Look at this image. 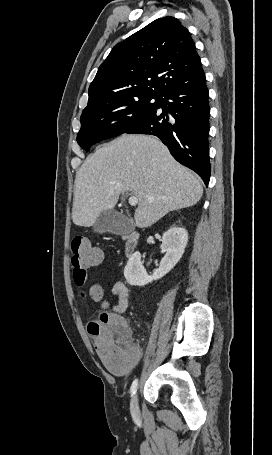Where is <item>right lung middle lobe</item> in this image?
<instances>
[{"mask_svg":"<svg viewBox=\"0 0 272 455\" xmlns=\"http://www.w3.org/2000/svg\"><path fill=\"white\" fill-rule=\"evenodd\" d=\"M160 98L151 94L135 95L83 112L78 144L89 151L97 142L126 133L157 108Z\"/></svg>","mask_w":272,"mask_h":455,"instance_id":"1","label":"right lung middle lobe"}]
</instances>
